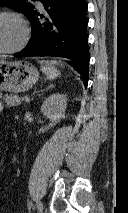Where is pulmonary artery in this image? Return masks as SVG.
Returning <instances> with one entry per match:
<instances>
[{
    "mask_svg": "<svg viewBox=\"0 0 128 213\" xmlns=\"http://www.w3.org/2000/svg\"><path fill=\"white\" fill-rule=\"evenodd\" d=\"M37 5H38L39 8H42L41 2L37 1Z\"/></svg>",
    "mask_w": 128,
    "mask_h": 213,
    "instance_id": "1",
    "label": "pulmonary artery"
}]
</instances>
